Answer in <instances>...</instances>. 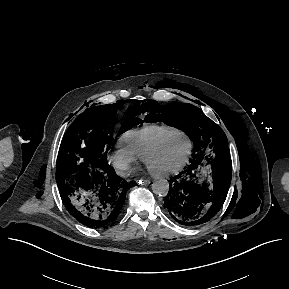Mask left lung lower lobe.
<instances>
[{
  "instance_id": "0a47b994",
  "label": "left lung lower lobe",
  "mask_w": 289,
  "mask_h": 289,
  "mask_svg": "<svg viewBox=\"0 0 289 289\" xmlns=\"http://www.w3.org/2000/svg\"><path fill=\"white\" fill-rule=\"evenodd\" d=\"M231 173L230 166L219 168L193 159L185 171L170 179L168 214L185 226L209 221L226 199Z\"/></svg>"
}]
</instances>
